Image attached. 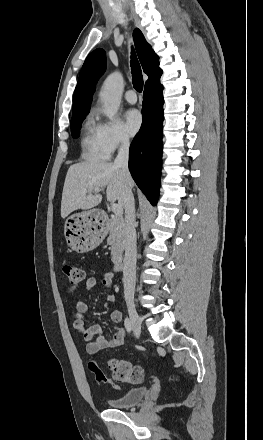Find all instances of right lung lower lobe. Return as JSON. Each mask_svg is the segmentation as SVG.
I'll return each mask as SVG.
<instances>
[{"instance_id": "obj_1", "label": "right lung lower lobe", "mask_w": 263, "mask_h": 440, "mask_svg": "<svg viewBox=\"0 0 263 440\" xmlns=\"http://www.w3.org/2000/svg\"><path fill=\"white\" fill-rule=\"evenodd\" d=\"M160 79V78H159ZM159 79L145 85L143 122L129 151V170L152 205L157 203L162 160L163 86Z\"/></svg>"}]
</instances>
